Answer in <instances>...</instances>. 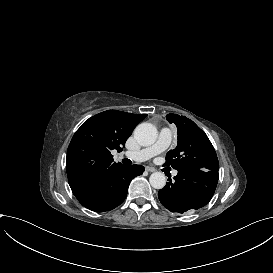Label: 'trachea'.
<instances>
[{"mask_svg":"<svg viewBox=\"0 0 273 273\" xmlns=\"http://www.w3.org/2000/svg\"><path fill=\"white\" fill-rule=\"evenodd\" d=\"M123 163L125 165H130L131 164V160H129V159H123Z\"/></svg>","mask_w":273,"mask_h":273,"instance_id":"3493384b","label":"trachea"}]
</instances>
